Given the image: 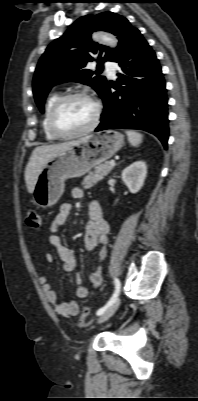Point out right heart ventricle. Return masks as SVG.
Returning <instances> with one entry per match:
<instances>
[{"label": "right heart ventricle", "mask_w": 198, "mask_h": 401, "mask_svg": "<svg viewBox=\"0 0 198 401\" xmlns=\"http://www.w3.org/2000/svg\"><path fill=\"white\" fill-rule=\"evenodd\" d=\"M60 97V94L59 93H52L49 97H48V99H47V101H46V103H45V107H44V114H43V118H42V130H43V133H44V136H45V138L47 139V140H49V141H53V140H56L57 138L55 137V136H53L52 134H51V132H50V130H49V128H48V122H47V119H48V114H49V111H50V109H51V107H52V105H53V103L58 99Z\"/></svg>", "instance_id": "1"}]
</instances>
